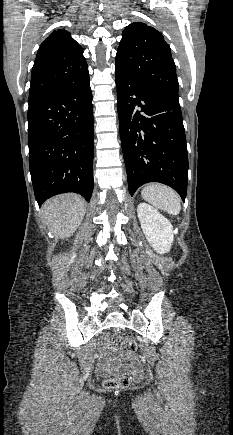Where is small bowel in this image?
<instances>
[{
    "label": "small bowel",
    "mask_w": 233,
    "mask_h": 435,
    "mask_svg": "<svg viewBox=\"0 0 233 435\" xmlns=\"http://www.w3.org/2000/svg\"><path fill=\"white\" fill-rule=\"evenodd\" d=\"M99 350L101 359L98 361L96 371L100 375H108L120 370L140 373L142 368L135 355H117V350L110 345V341L104 338L100 341Z\"/></svg>",
    "instance_id": "small-bowel-1"
}]
</instances>
